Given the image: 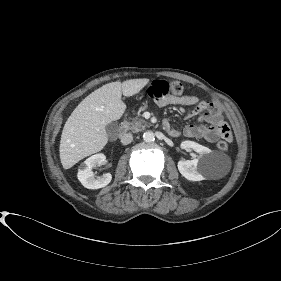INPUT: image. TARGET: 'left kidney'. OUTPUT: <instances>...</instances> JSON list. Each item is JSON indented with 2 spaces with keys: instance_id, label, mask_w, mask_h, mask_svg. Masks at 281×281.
Returning <instances> with one entry per match:
<instances>
[{
  "instance_id": "left-kidney-1",
  "label": "left kidney",
  "mask_w": 281,
  "mask_h": 281,
  "mask_svg": "<svg viewBox=\"0 0 281 281\" xmlns=\"http://www.w3.org/2000/svg\"><path fill=\"white\" fill-rule=\"evenodd\" d=\"M182 149H193L199 154L198 158L191 161L180 160L178 170L183 177L190 181H201L209 174L211 150L193 141H183Z\"/></svg>"
}]
</instances>
